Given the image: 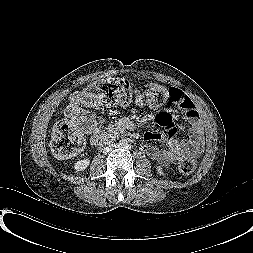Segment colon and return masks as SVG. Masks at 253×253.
<instances>
[{
  "instance_id": "obj_1",
  "label": "colon",
  "mask_w": 253,
  "mask_h": 253,
  "mask_svg": "<svg viewBox=\"0 0 253 253\" xmlns=\"http://www.w3.org/2000/svg\"><path fill=\"white\" fill-rule=\"evenodd\" d=\"M175 99V92L162 86H150L144 91L134 92L131 85L123 79H103L90 85L80 94L81 102L88 107L128 105L135 102L151 108L159 107ZM84 146L79 130L70 122H61L51 137V150L61 159L78 154ZM196 167L192 157L179 160L178 168L183 174H191Z\"/></svg>"
}]
</instances>
